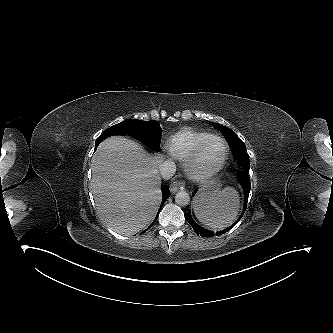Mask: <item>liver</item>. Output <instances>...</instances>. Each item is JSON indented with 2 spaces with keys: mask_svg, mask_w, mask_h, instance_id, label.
Wrapping results in <instances>:
<instances>
[{
  "mask_svg": "<svg viewBox=\"0 0 333 333\" xmlns=\"http://www.w3.org/2000/svg\"><path fill=\"white\" fill-rule=\"evenodd\" d=\"M163 160L121 136L99 145L92 158L91 186L97 211L109 228L133 235L153 220L162 199L158 167Z\"/></svg>",
  "mask_w": 333,
  "mask_h": 333,
  "instance_id": "6515ba94",
  "label": "liver"
}]
</instances>
